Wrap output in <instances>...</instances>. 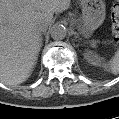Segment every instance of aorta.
<instances>
[{
	"instance_id": "obj_1",
	"label": "aorta",
	"mask_w": 119,
	"mask_h": 119,
	"mask_svg": "<svg viewBox=\"0 0 119 119\" xmlns=\"http://www.w3.org/2000/svg\"><path fill=\"white\" fill-rule=\"evenodd\" d=\"M50 34L54 40H62L66 37L67 30L61 24H54L50 30Z\"/></svg>"
}]
</instances>
